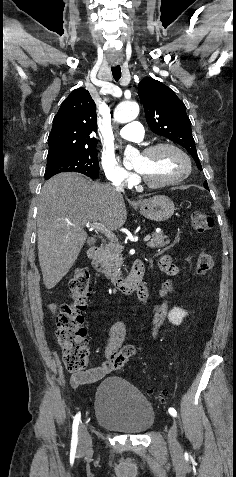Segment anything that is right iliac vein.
<instances>
[{
	"label": "right iliac vein",
	"mask_w": 236,
	"mask_h": 477,
	"mask_svg": "<svg viewBox=\"0 0 236 477\" xmlns=\"http://www.w3.org/2000/svg\"><path fill=\"white\" fill-rule=\"evenodd\" d=\"M78 437H79L78 452L79 453L88 452L91 448L92 441H91V436L84 424H80L79 426Z\"/></svg>",
	"instance_id": "63e3f726"
}]
</instances>
